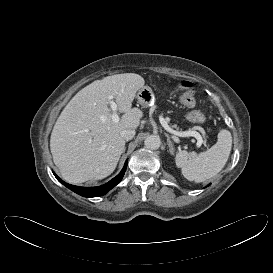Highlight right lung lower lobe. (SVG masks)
I'll use <instances>...</instances> for the list:
<instances>
[{
  "instance_id": "right-lung-lower-lobe-1",
  "label": "right lung lower lobe",
  "mask_w": 273,
  "mask_h": 273,
  "mask_svg": "<svg viewBox=\"0 0 273 273\" xmlns=\"http://www.w3.org/2000/svg\"><path fill=\"white\" fill-rule=\"evenodd\" d=\"M126 167H127V161L122 171L115 178H113L104 186H100V187H79V186L70 185L64 182L63 180H61L55 173L54 175L59 182H61L63 185H65L67 188H69L73 192L84 197H98V196L105 195L109 190H111L114 186H116L122 180L126 171Z\"/></svg>"
}]
</instances>
